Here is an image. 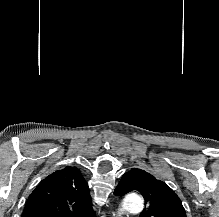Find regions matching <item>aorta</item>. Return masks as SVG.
I'll return each instance as SVG.
<instances>
[{
    "instance_id": "obj_1",
    "label": "aorta",
    "mask_w": 219,
    "mask_h": 217,
    "mask_svg": "<svg viewBox=\"0 0 219 217\" xmlns=\"http://www.w3.org/2000/svg\"><path fill=\"white\" fill-rule=\"evenodd\" d=\"M143 207V200L139 195H129L124 199L122 207L119 210V214H122L124 211L140 212Z\"/></svg>"
}]
</instances>
